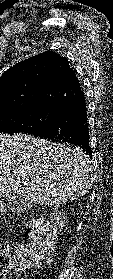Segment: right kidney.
Masks as SVG:
<instances>
[{"instance_id": "1", "label": "right kidney", "mask_w": 113, "mask_h": 279, "mask_svg": "<svg viewBox=\"0 0 113 279\" xmlns=\"http://www.w3.org/2000/svg\"><path fill=\"white\" fill-rule=\"evenodd\" d=\"M51 224L50 228L54 232H61L62 228L65 225L66 215L62 212H58L57 209L54 210V213L50 215Z\"/></svg>"}]
</instances>
